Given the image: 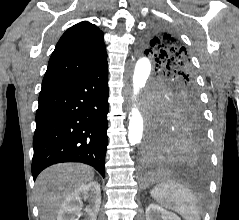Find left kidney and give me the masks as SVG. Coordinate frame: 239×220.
Returning <instances> with one entry per match:
<instances>
[{"label": "left kidney", "instance_id": "obj_1", "mask_svg": "<svg viewBox=\"0 0 239 220\" xmlns=\"http://www.w3.org/2000/svg\"><path fill=\"white\" fill-rule=\"evenodd\" d=\"M146 220H181L175 213L152 203L146 208Z\"/></svg>", "mask_w": 239, "mask_h": 220}]
</instances>
